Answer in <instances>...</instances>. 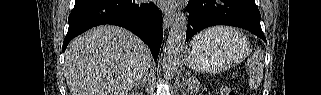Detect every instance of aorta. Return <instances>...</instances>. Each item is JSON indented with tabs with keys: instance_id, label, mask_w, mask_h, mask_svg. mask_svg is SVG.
<instances>
[{
	"instance_id": "obj_1",
	"label": "aorta",
	"mask_w": 321,
	"mask_h": 95,
	"mask_svg": "<svg viewBox=\"0 0 321 95\" xmlns=\"http://www.w3.org/2000/svg\"><path fill=\"white\" fill-rule=\"evenodd\" d=\"M187 32V19L179 13L169 32L164 49L163 65L166 79L172 78L178 70Z\"/></svg>"
}]
</instances>
